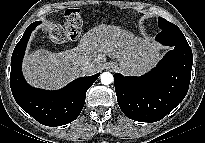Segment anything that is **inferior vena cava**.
Segmentation results:
<instances>
[{
  "label": "inferior vena cava",
  "instance_id": "602c4592",
  "mask_svg": "<svg viewBox=\"0 0 205 143\" xmlns=\"http://www.w3.org/2000/svg\"><path fill=\"white\" fill-rule=\"evenodd\" d=\"M81 71L83 75H92L95 73L96 68L92 62L85 61L81 65Z\"/></svg>",
  "mask_w": 205,
  "mask_h": 143
}]
</instances>
